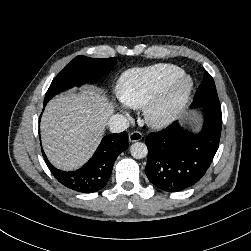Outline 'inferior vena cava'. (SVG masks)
I'll return each mask as SVG.
<instances>
[{"mask_svg":"<svg viewBox=\"0 0 251 251\" xmlns=\"http://www.w3.org/2000/svg\"><path fill=\"white\" fill-rule=\"evenodd\" d=\"M108 126L112 133H119L125 131L129 127V122L123 115L116 114L110 117Z\"/></svg>","mask_w":251,"mask_h":251,"instance_id":"602c4592","label":"inferior vena cava"}]
</instances>
